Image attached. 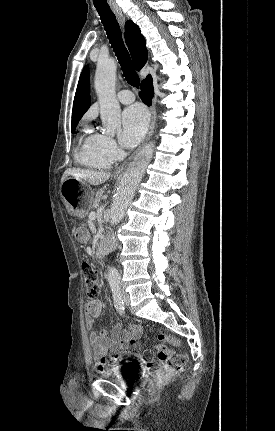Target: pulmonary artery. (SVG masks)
Wrapping results in <instances>:
<instances>
[{
  "label": "pulmonary artery",
  "mask_w": 275,
  "mask_h": 431,
  "mask_svg": "<svg viewBox=\"0 0 275 431\" xmlns=\"http://www.w3.org/2000/svg\"><path fill=\"white\" fill-rule=\"evenodd\" d=\"M117 98L122 104H130L134 101L135 97L129 90H122L117 94Z\"/></svg>",
  "instance_id": "1"
}]
</instances>
